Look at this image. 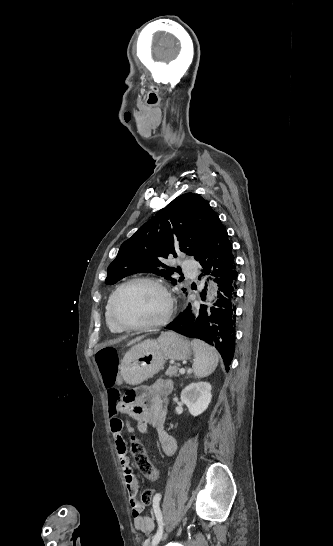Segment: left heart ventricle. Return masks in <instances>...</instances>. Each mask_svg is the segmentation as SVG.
I'll list each match as a JSON object with an SVG mask.
<instances>
[{"label": "left heart ventricle", "instance_id": "b2bd125f", "mask_svg": "<svg viewBox=\"0 0 333 546\" xmlns=\"http://www.w3.org/2000/svg\"><path fill=\"white\" fill-rule=\"evenodd\" d=\"M167 309L163 291L152 284L133 283L119 293L115 312L118 319L128 325H137L161 318Z\"/></svg>", "mask_w": 333, "mask_h": 546}]
</instances>
